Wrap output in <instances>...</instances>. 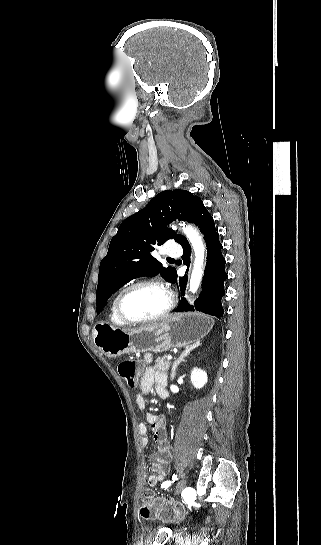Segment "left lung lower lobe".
Listing matches in <instances>:
<instances>
[{
    "instance_id": "left-lung-lower-lobe-1",
    "label": "left lung lower lobe",
    "mask_w": 321,
    "mask_h": 545,
    "mask_svg": "<svg viewBox=\"0 0 321 545\" xmlns=\"http://www.w3.org/2000/svg\"><path fill=\"white\" fill-rule=\"evenodd\" d=\"M190 222L199 226L207 246V265L204 272L203 288L199 298L195 301V306L188 304L185 298H182L175 312L182 311H201L212 316L221 318L224 314L222 307V297L225 295L224 281L227 279L225 272V258L222 256V244L219 241V235L215 228L213 217L209 214L206 207L200 205L196 208ZM183 247L182 258L184 264L189 267L191 247L187 239L184 237L179 243ZM172 282H178L184 295L187 276L177 277V273L172 279Z\"/></svg>"
}]
</instances>
